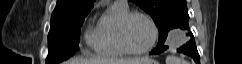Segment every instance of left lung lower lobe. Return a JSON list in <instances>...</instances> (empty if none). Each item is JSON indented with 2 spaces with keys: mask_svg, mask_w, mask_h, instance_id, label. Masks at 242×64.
<instances>
[{
  "mask_svg": "<svg viewBox=\"0 0 242 64\" xmlns=\"http://www.w3.org/2000/svg\"><path fill=\"white\" fill-rule=\"evenodd\" d=\"M180 28L182 30H189V24H183ZM189 35L191 36L190 41L187 42L186 44H184L179 49H177V51L180 52V53H184L186 55L191 56L197 64H200V56H199V53H198L197 48H196L195 39H194L193 34L191 32L189 33ZM167 49H168V46H166L165 44L164 45H158L154 50H152L150 52V54L151 55L160 54Z\"/></svg>",
  "mask_w": 242,
  "mask_h": 64,
  "instance_id": "left-lung-lower-lobe-1",
  "label": "left lung lower lobe"
}]
</instances>
